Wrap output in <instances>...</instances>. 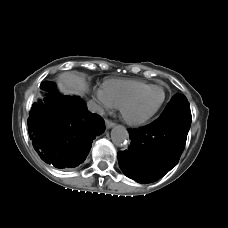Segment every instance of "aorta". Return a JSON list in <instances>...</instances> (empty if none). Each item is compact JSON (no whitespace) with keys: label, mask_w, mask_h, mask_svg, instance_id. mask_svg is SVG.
Wrapping results in <instances>:
<instances>
[{"label":"aorta","mask_w":228,"mask_h":228,"mask_svg":"<svg viewBox=\"0 0 228 228\" xmlns=\"http://www.w3.org/2000/svg\"><path fill=\"white\" fill-rule=\"evenodd\" d=\"M111 139L115 146L124 147L128 144L129 134L125 127L115 126L111 131Z\"/></svg>","instance_id":"obj_1"}]
</instances>
